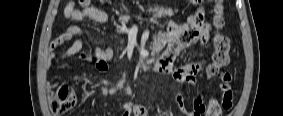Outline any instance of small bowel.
Returning a JSON list of instances; mask_svg holds the SVG:
<instances>
[{"label":"small bowel","mask_w":283,"mask_h":116,"mask_svg":"<svg viewBox=\"0 0 283 116\" xmlns=\"http://www.w3.org/2000/svg\"><path fill=\"white\" fill-rule=\"evenodd\" d=\"M196 2V1H192ZM64 14L67 18L74 21H82L85 19L92 20L97 23H107L110 19V15L96 7H88L85 9H77L73 2H70L64 9ZM74 39L70 45L61 53V60L66 62L70 57L78 54L83 49V30L78 25H70L57 39L50 44V52L53 53L59 49L65 42H70ZM209 39V26L205 22L204 13L202 9H198L193 15H191L186 23L183 25H175L172 22H168L167 31L162 35V41L165 43H172L178 47H184L192 42H199L200 45L207 43ZM95 53L99 57L97 62V69L100 72L107 70L106 61L112 58V52L109 49H96ZM82 59L89 61L90 58L87 54H83ZM173 52L165 53L157 62L156 69L161 70L163 73H172L174 79L181 86H193L194 87V100L193 111H187L183 104L182 91L179 90L176 96V103L179 111L182 115L186 116H211L209 115L208 105L203 101L202 93L195 88L196 80L199 72L204 66L203 62H191L184 67L173 70ZM230 82H226L221 77L220 88L222 91V100L225 101L228 98L232 100V93L230 90ZM123 116H149L150 111L139 104H134L132 101H126L122 104Z\"/></svg>","instance_id":"obj_1"}]
</instances>
